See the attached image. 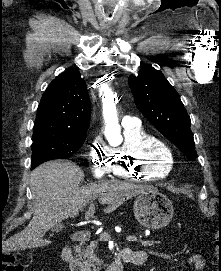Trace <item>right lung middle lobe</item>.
<instances>
[{
    "mask_svg": "<svg viewBox=\"0 0 221 271\" xmlns=\"http://www.w3.org/2000/svg\"><path fill=\"white\" fill-rule=\"evenodd\" d=\"M86 135L87 133L34 132L32 136V169L49 160L69 158L83 145Z\"/></svg>",
    "mask_w": 221,
    "mask_h": 271,
    "instance_id": "right-lung-middle-lobe-1",
    "label": "right lung middle lobe"
}]
</instances>
